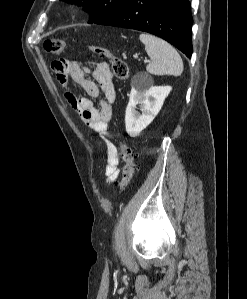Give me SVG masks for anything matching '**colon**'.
Wrapping results in <instances>:
<instances>
[{
	"instance_id": "1",
	"label": "colon",
	"mask_w": 247,
	"mask_h": 299,
	"mask_svg": "<svg viewBox=\"0 0 247 299\" xmlns=\"http://www.w3.org/2000/svg\"><path fill=\"white\" fill-rule=\"evenodd\" d=\"M65 41L60 38H49L44 42V49L46 52L59 55L65 49ZM88 48L92 53L99 57H104L111 62V75L119 80H126L129 77V66L125 60L115 56L109 49L98 46L89 45ZM120 148V156L124 163L122 177L118 181L120 191H124L131 183V180L137 169L135 163V154L133 149L122 140H117Z\"/></svg>"
}]
</instances>
